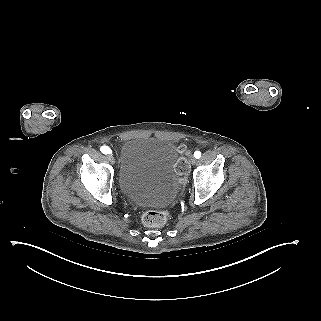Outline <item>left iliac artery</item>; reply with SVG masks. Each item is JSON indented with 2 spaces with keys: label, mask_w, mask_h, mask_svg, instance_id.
Instances as JSON below:
<instances>
[{
  "label": "left iliac artery",
  "mask_w": 321,
  "mask_h": 321,
  "mask_svg": "<svg viewBox=\"0 0 321 321\" xmlns=\"http://www.w3.org/2000/svg\"><path fill=\"white\" fill-rule=\"evenodd\" d=\"M194 157L197 158V159H199V158L201 157V152H200V151H196V152L194 153Z\"/></svg>",
  "instance_id": "left-iliac-artery-1"
}]
</instances>
